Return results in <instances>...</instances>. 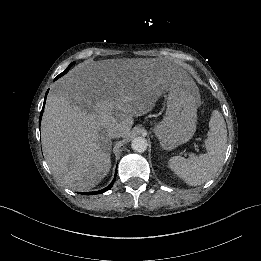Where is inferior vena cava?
<instances>
[{"instance_id": "inferior-vena-cava-1", "label": "inferior vena cava", "mask_w": 261, "mask_h": 261, "mask_svg": "<svg viewBox=\"0 0 261 261\" xmlns=\"http://www.w3.org/2000/svg\"><path fill=\"white\" fill-rule=\"evenodd\" d=\"M121 136H122L121 131L118 128H113L108 131V137L110 138H117Z\"/></svg>"}]
</instances>
